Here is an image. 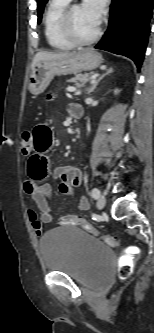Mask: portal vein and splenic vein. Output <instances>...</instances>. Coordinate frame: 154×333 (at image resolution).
Returning <instances> with one entry per match:
<instances>
[{"label": "portal vein and splenic vein", "instance_id": "obj_1", "mask_svg": "<svg viewBox=\"0 0 154 333\" xmlns=\"http://www.w3.org/2000/svg\"><path fill=\"white\" fill-rule=\"evenodd\" d=\"M97 76H98V74H97V75H93V76L91 77V80L94 81V79H95ZM67 91H69V92H75L76 94H80V91H77V89H76V88H73V87H71V88H67Z\"/></svg>", "mask_w": 154, "mask_h": 333}]
</instances>
